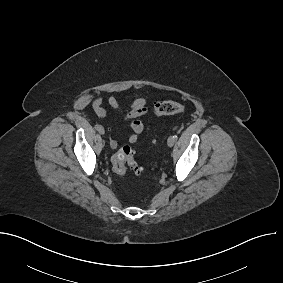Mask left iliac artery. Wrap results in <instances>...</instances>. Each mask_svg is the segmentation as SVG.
<instances>
[{
	"label": "left iliac artery",
	"mask_w": 283,
	"mask_h": 283,
	"mask_svg": "<svg viewBox=\"0 0 283 283\" xmlns=\"http://www.w3.org/2000/svg\"><path fill=\"white\" fill-rule=\"evenodd\" d=\"M175 139L177 140L178 136L177 135H174Z\"/></svg>",
	"instance_id": "44dca946"
}]
</instances>
